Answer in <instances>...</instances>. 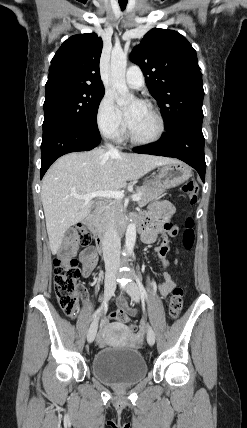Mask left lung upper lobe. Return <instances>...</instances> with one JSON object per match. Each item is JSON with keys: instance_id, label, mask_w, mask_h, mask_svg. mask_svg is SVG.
Segmentation results:
<instances>
[{"instance_id": "obj_1", "label": "left lung upper lobe", "mask_w": 247, "mask_h": 428, "mask_svg": "<svg viewBox=\"0 0 247 428\" xmlns=\"http://www.w3.org/2000/svg\"><path fill=\"white\" fill-rule=\"evenodd\" d=\"M131 60L142 69L167 129L181 121L203 119L202 74L196 51L184 36L152 29L133 49Z\"/></svg>"}]
</instances>
